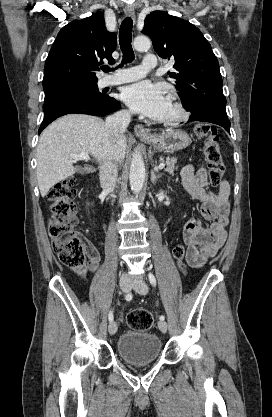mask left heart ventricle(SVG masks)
Returning <instances> with one entry per match:
<instances>
[{
    "label": "left heart ventricle",
    "mask_w": 272,
    "mask_h": 417,
    "mask_svg": "<svg viewBox=\"0 0 272 417\" xmlns=\"http://www.w3.org/2000/svg\"><path fill=\"white\" fill-rule=\"evenodd\" d=\"M175 114V110L173 108V105L171 104V102L168 100L166 108L162 114V116L160 117V119L162 118H168L171 117Z\"/></svg>",
    "instance_id": "b2bd125f"
}]
</instances>
